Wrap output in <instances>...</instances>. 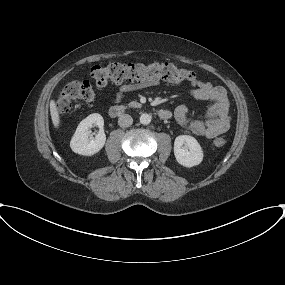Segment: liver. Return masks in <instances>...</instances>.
<instances>
[{"mask_svg":"<svg viewBox=\"0 0 285 285\" xmlns=\"http://www.w3.org/2000/svg\"><path fill=\"white\" fill-rule=\"evenodd\" d=\"M50 114H51V119H52V123L54 127L58 129L60 126V116H59V112H58L55 100H51L50 102Z\"/></svg>","mask_w":285,"mask_h":285,"instance_id":"1","label":"liver"}]
</instances>
